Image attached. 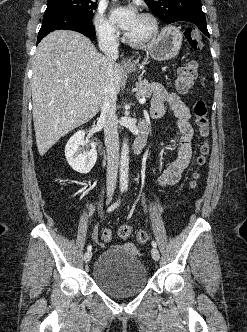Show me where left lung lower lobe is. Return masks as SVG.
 Here are the masks:
<instances>
[{"label": "left lung lower lobe", "instance_id": "1", "mask_svg": "<svg viewBox=\"0 0 247 332\" xmlns=\"http://www.w3.org/2000/svg\"><path fill=\"white\" fill-rule=\"evenodd\" d=\"M193 27L199 29L205 36L210 37L206 21H197Z\"/></svg>", "mask_w": 247, "mask_h": 332}]
</instances>
